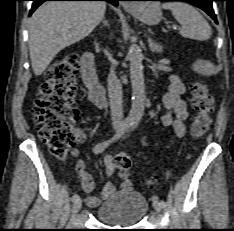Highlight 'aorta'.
I'll return each mask as SVG.
<instances>
[{
  "instance_id": "762f6f07",
  "label": "aorta",
  "mask_w": 234,
  "mask_h": 231,
  "mask_svg": "<svg viewBox=\"0 0 234 231\" xmlns=\"http://www.w3.org/2000/svg\"><path fill=\"white\" fill-rule=\"evenodd\" d=\"M130 80L132 86V106L127 117L130 123L140 122L145 107V85L143 73V54L137 44H132L128 50Z\"/></svg>"
}]
</instances>
